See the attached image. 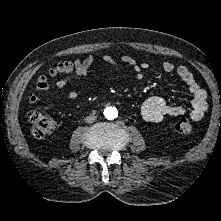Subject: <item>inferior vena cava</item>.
<instances>
[{"instance_id": "inferior-vena-cava-1", "label": "inferior vena cava", "mask_w": 221, "mask_h": 221, "mask_svg": "<svg viewBox=\"0 0 221 221\" xmlns=\"http://www.w3.org/2000/svg\"><path fill=\"white\" fill-rule=\"evenodd\" d=\"M95 120H96L95 115H89V116H86V118H85L86 123H93V122H95Z\"/></svg>"}]
</instances>
